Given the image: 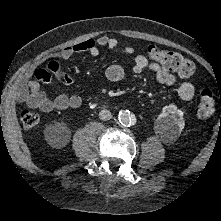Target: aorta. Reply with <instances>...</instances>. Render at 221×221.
I'll list each match as a JSON object with an SVG mask.
<instances>
[{"instance_id":"aorta-1","label":"aorta","mask_w":221,"mask_h":221,"mask_svg":"<svg viewBox=\"0 0 221 221\" xmlns=\"http://www.w3.org/2000/svg\"><path fill=\"white\" fill-rule=\"evenodd\" d=\"M118 119L123 126H130L136 122L135 116L128 110H121L118 114Z\"/></svg>"}]
</instances>
